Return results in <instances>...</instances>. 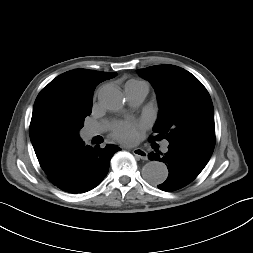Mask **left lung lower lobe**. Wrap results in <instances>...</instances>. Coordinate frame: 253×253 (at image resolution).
Returning a JSON list of instances; mask_svg holds the SVG:
<instances>
[{
	"label": "left lung lower lobe",
	"instance_id": "obj_1",
	"mask_svg": "<svg viewBox=\"0 0 253 253\" xmlns=\"http://www.w3.org/2000/svg\"><path fill=\"white\" fill-rule=\"evenodd\" d=\"M213 150L202 144L178 140L169 142L168 152L163 156L149 153L150 160L164 162L169 170L168 178L158 188L174 191L188 185L206 166Z\"/></svg>",
	"mask_w": 253,
	"mask_h": 253
}]
</instances>
